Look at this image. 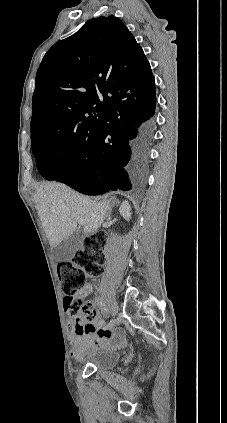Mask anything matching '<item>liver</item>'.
I'll return each mask as SVG.
<instances>
[{
	"label": "liver",
	"instance_id": "liver-1",
	"mask_svg": "<svg viewBox=\"0 0 227 423\" xmlns=\"http://www.w3.org/2000/svg\"><path fill=\"white\" fill-rule=\"evenodd\" d=\"M35 208L52 247L67 239L76 231L78 223L84 233H92L101 227L107 213L113 208L115 198L97 202L74 192L65 184H40L34 194Z\"/></svg>",
	"mask_w": 227,
	"mask_h": 423
}]
</instances>
